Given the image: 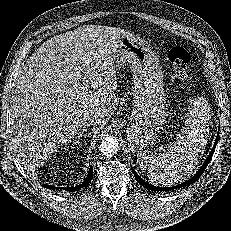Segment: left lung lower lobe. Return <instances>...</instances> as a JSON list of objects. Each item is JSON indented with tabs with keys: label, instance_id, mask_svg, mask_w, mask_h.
<instances>
[{
	"label": "left lung lower lobe",
	"instance_id": "1",
	"mask_svg": "<svg viewBox=\"0 0 231 231\" xmlns=\"http://www.w3.org/2000/svg\"><path fill=\"white\" fill-rule=\"evenodd\" d=\"M218 137H219V133L217 135V138L215 140V144L211 150V152L209 153L207 159L205 160V162L203 163V165L201 166V168L198 170V172H196V174L191 178L189 179L188 181L180 184V185H177V186H174V187H165V188H162V187H156V186H153L151 184H149L148 182H146L145 180H143L136 172L135 170L132 168L133 170V173H134V176H135V179L137 180V182L139 184H141L144 188H146L147 190H151V191H170V190H173V189H177L179 187H184V186H188L190 184H193L195 181H197L200 176L204 173L208 163L211 161L212 159V156H213V153L215 151V148H216V144H217V141H218Z\"/></svg>",
	"mask_w": 231,
	"mask_h": 231
}]
</instances>
